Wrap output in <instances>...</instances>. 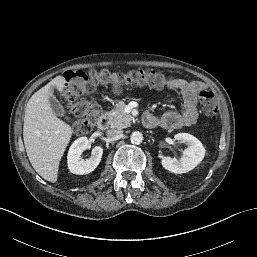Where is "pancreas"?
Segmentation results:
<instances>
[{
    "label": "pancreas",
    "instance_id": "obj_1",
    "mask_svg": "<svg viewBox=\"0 0 257 257\" xmlns=\"http://www.w3.org/2000/svg\"><path fill=\"white\" fill-rule=\"evenodd\" d=\"M125 102L120 101L115 108L108 112V120L112 128H126L130 125L132 117L124 111Z\"/></svg>",
    "mask_w": 257,
    "mask_h": 257
}]
</instances>
